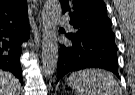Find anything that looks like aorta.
Listing matches in <instances>:
<instances>
[{
    "instance_id": "obj_1",
    "label": "aorta",
    "mask_w": 135,
    "mask_h": 95,
    "mask_svg": "<svg viewBox=\"0 0 135 95\" xmlns=\"http://www.w3.org/2000/svg\"><path fill=\"white\" fill-rule=\"evenodd\" d=\"M61 13L59 0H46L43 12L42 67L47 75H52L58 63L57 24Z\"/></svg>"
}]
</instances>
